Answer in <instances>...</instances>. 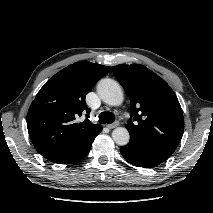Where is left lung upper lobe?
Here are the masks:
<instances>
[{
	"mask_svg": "<svg viewBox=\"0 0 213 213\" xmlns=\"http://www.w3.org/2000/svg\"><path fill=\"white\" fill-rule=\"evenodd\" d=\"M112 71L131 101L126 128L143 145L172 154L184 132L181 106L170 86L143 65H117Z\"/></svg>",
	"mask_w": 213,
	"mask_h": 213,
	"instance_id": "obj_1",
	"label": "left lung upper lobe"
}]
</instances>
